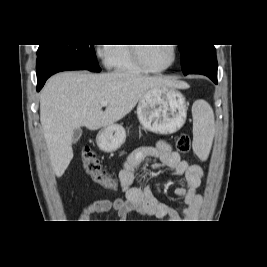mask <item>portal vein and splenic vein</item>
<instances>
[{"instance_id":"18ae733b","label":"portal vein and splenic vein","mask_w":267,"mask_h":267,"mask_svg":"<svg viewBox=\"0 0 267 267\" xmlns=\"http://www.w3.org/2000/svg\"><path fill=\"white\" fill-rule=\"evenodd\" d=\"M108 105V102L104 101L101 103V106H107Z\"/></svg>"}]
</instances>
